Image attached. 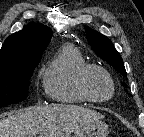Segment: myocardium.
Here are the masks:
<instances>
[{
	"label": "myocardium",
	"mask_w": 144,
	"mask_h": 137,
	"mask_svg": "<svg viewBox=\"0 0 144 137\" xmlns=\"http://www.w3.org/2000/svg\"><path fill=\"white\" fill-rule=\"evenodd\" d=\"M92 72H99L107 78V80L109 81L111 85V93L109 96L99 98V97L94 96L91 93L89 86H88V79ZM77 85H78V89L80 93L88 101L95 102V103H104V102L111 100L114 97L115 92H116V84L110 72L104 67L97 65V64H88L80 71Z\"/></svg>",
	"instance_id": "f54148a6"
}]
</instances>
